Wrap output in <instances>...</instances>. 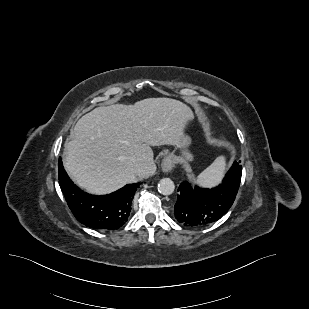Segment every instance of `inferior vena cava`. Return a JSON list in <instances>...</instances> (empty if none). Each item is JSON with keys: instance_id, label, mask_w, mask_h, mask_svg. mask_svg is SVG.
Instances as JSON below:
<instances>
[{"instance_id": "inferior-vena-cava-1", "label": "inferior vena cava", "mask_w": 309, "mask_h": 309, "mask_svg": "<svg viewBox=\"0 0 309 309\" xmlns=\"http://www.w3.org/2000/svg\"><path fill=\"white\" fill-rule=\"evenodd\" d=\"M134 171L136 174H139L142 171V164L139 163L137 160H134Z\"/></svg>"}]
</instances>
